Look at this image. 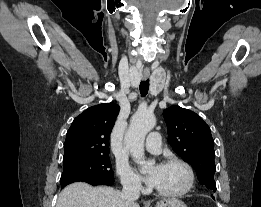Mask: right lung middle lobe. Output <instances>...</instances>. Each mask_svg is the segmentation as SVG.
I'll return each instance as SVG.
<instances>
[{
  "label": "right lung middle lobe",
  "mask_w": 261,
  "mask_h": 207,
  "mask_svg": "<svg viewBox=\"0 0 261 207\" xmlns=\"http://www.w3.org/2000/svg\"><path fill=\"white\" fill-rule=\"evenodd\" d=\"M60 183L88 178H113L109 155L90 156L63 161Z\"/></svg>",
  "instance_id": "dd1d6c3e"
}]
</instances>
